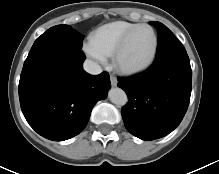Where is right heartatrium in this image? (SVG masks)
Instances as JSON below:
<instances>
[{"mask_svg":"<svg viewBox=\"0 0 219 174\" xmlns=\"http://www.w3.org/2000/svg\"><path fill=\"white\" fill-rule=\"evenodd\" d=\"M83 51L89 58H91L97 64H104L107 61L106 56L102 54L90 42H87L83 45Z\"/></svg>","mask_w":219,"mask_h":174,"instance_id":"right-heart-atrium-1","label":"right heart atrium"}]
</instances>
